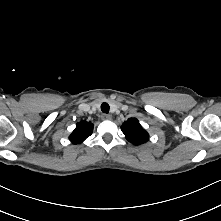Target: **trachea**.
<instances>
[{
  "label": "trachea",
  "mask_w": 221,
  "mask_h": 221,
  "mask_svg": "<svg viewBox=\"0 0 221 221\" xmlns=\"http://www.w3.org/2000/svg\"><path fill=\"white\" fill-rule=\"evenodd\" d=\"M109 109H110V107L106 102L101 104V111L103 113H109Z\"/></svg>",
  "instance_id": "1"
}]
</instances>
